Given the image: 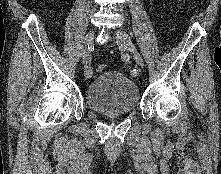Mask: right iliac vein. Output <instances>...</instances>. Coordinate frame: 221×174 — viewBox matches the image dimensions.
<instances>
[{
	"instance_id": "right-iliac-vein-1",
	"label": "right iliac vein",
	"mask_w": 221,
	"mask_h": 174,
	"mask_svg": "<svg viewBox=\"0 0 221 174\" xmlns=\"http://www.w3.org/2000/svg\"><path fill=\"white\" fill-rule=\"evenodd\" d=\"M93 39H94V31L90 30L85 37L84 47H83V51H82L83 61L89 55V49L93 43Z\"/></svg>"
}]
</instances>
